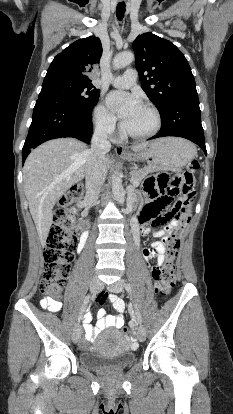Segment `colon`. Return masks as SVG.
I'll return each mask as SVG.
<instances>
[{"label":"colon","instance_id":"obj_1","mask_svg":"<svg viewBox=\"0 0 233 414\" xmlns=\"http://www.w3.org/2000/svg\"><path fill=\"white\" fill-rule=\"evenodd\" d=\"M199 168V162L193 160L188 164L187 171L181 175L160 172L148 177L144 182L145 193L153 198L148 207L150 215L159 218L162 211L167 210L166 214L170 217L175 216L180 226L179 230L164 241L166 260L162 268L157 271L155 284V292L161 300L170 294L177 281L174 259L180 245L181 228L190 221L192 216V208L196 200L194 174ZM83 193V186L75 185L60 200L46 240L45 267L40 291L54 300L60 299L63 294L76 247L75 235L70 230L74 220V210L71 205L79 200ZM123 332L128 335L130 328L124 327Z\"/></svg>","mask_w":233,"mask_h":414}]
</instances>
